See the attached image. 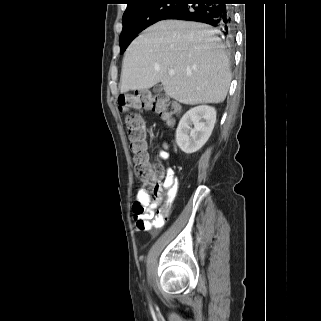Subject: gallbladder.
<instances>
[{"mask_svg": "<svg viewBox=\"0 0 321 321\" xmlns=\"http://www.w3.org/2000/svg\"><path fill=\"white\" fill-rule=\"evenodd\" d=\"M163 90V87L161 84H156L154 87H153V92L156 93V94H159L161 93Z\"/></svg>", "mask_w": 321, "mask_h": 321, "instance_id": "1", "label": "gallbladder"}]
</instances>
